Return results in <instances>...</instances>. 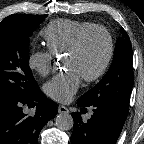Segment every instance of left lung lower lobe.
I'll list each match as a JSON object with an SVG mask.
<instances>
[{"label":"left lung lower lobe","mask_w":144,"mask_h":144,"mask_svg":"<svg viewBox=\"0 0 144 144\" xmlns=\"http://www.w3.org/2000/svg\"><path fill=\"white\" fill-rule=\"evenodd\" d=\"M79 107H85L78 102ZM94 107V114L86 123L79 112L72 113L74 120L71 144H115L124 126L128 111L101 103Z\"/></svg>","instance_id":"0a47b994"}]
</instances>
